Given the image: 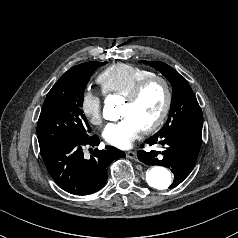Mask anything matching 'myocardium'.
Masks as SVG:
<instances>
[{
	"mask_svg": "<svg viewBox=\"0 0 238 238\" xmlns=\"http://www.w3.org/2000/svg\"><path fill=\"white\" fill-rule=\"evenodd\" d=\"M154 83H159L162 85L165 92V99L161 112L157 118L148 126L141 129V131L145 134L151 133L159 128L165 121L170 111L172 104V90L169 82L164 77L153 75L139 82L132 92L125 98V102L128 104H135L141 98L145 90Z\"/></svg>",
	"mask_w": 238,
	"mask_h": 238,
	"instance_id": "myocardium-1",
	"label": "myocardium"
}]
</instances>
